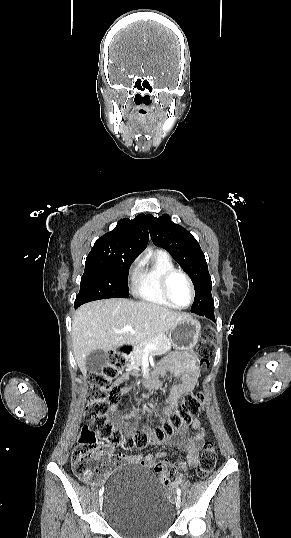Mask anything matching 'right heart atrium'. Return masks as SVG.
I'll return each instance as SVG.
<instances>
[{
	"instance_id": "right-heart-atrium-1",
	"label": "right heart atrium",
	"mask_w": 291,
	"mask_h": 538,
	"mask_svg": "<svg viewBox=\"0 0 291 538\" xmlns=\"http://www.w3.org/2000/svg\"><path fill=\"white\" fill-rule=\"evenodd\" d=\"M140 264H141V261L139 258H136L135 260L132 261V263L130 264V267H129V273L132 277L133 280H135V277H136V274L138 272V269L140 267Z\"/></svg>"
}]
</instances>
